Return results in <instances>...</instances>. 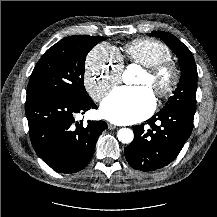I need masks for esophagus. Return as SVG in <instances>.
<instances>
[{"mask_svg":"<svg viewBox=\"0 0 217 217\" xmlns=\"http://www.w3.org/2000/svg\"><path fill=\"white\" fill-rule=\"evenodd\" d=\"M117 127L115 125H112V124H108V129L110 130H114L116 129Z\"/></svg>","mask_w":217,"mask_h":217,"instance_id":"esophagus-1","label":"esophagus"}]
</instances>
